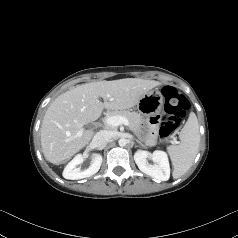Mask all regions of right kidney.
I'll use <instances>...</instances> for the list:
<instances>
[{
  "label": "right kidney",
  "mask_w": 238,
  "mask_h": 238,
  "mask_svg": "<svg viewBox=\"0 0 238 238\" xmlns=\"http://www.w3.org/2000/svg\"><path fill=\"white\" fill-rule=\"evenodd\" d=\"M83 161L84 157L81 154L76 155L65 167L63 177L70 180H78L94 175L100 169L102 156L98 153H93L91 165L84 171L77 167L79 164L83 163Z\"/></svg>",
  "instance_id": "ca27d5eb"
}]
</instances>
